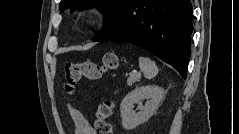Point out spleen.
Segmentation results:
<instances>
[{"instance_id":"spleen-1","label":"spleen","mask_w":239,"mask_h":134,"mask_svg":"<svg viewBox=\"0 0 239 134\" xmlns=\"http://www.w3.org/2000/svg\"><path fill=\"white\" fill-rule=\"evenodd\" d=\"M139 67L144 73L145 78L147 79H152L158 74V67L150 58L140 57Z\"/></svg>"}]
</instances>
